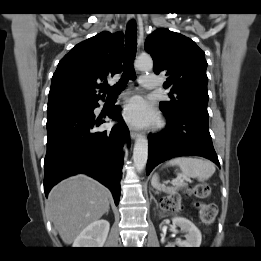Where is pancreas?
<instances>
[{
	"instance_id": "1",
	"label": "pancreas",
	"mask_w": 261,
	"mask_h": 261,
	"mask_svg": "<svg viewBox=\"0 0 261 261\" xmlns=\"http://www.w3.org/2000/svg\"><path fill=\"white\" fill-rule=\"evenodd\" d=\"M181 186H183L184 185V183H182V184H180Z\"/></svg>"
}]
</instances>
